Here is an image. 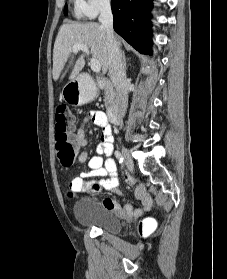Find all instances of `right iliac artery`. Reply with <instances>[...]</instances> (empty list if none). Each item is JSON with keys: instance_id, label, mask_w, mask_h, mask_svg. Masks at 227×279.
<instances>
[{"instance_id": "right-iliac-artery-1", "label": "right iliac artery", "mask_w": 227, "mask_h": 279, "mask_svg": "<svg viewBox=\"0 0 227 279\" xmlns=\"http://www.w3.org/2000/svg\"><path fill=\"white\" fill-rule=\"evenodd\" d=\"M115 156L120 163H123V155L119 151H115Z\"/></svg>"}]
</instances>
